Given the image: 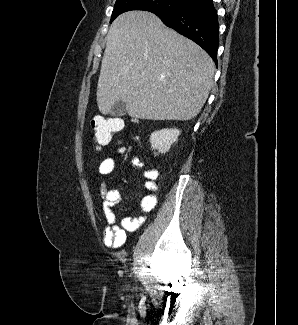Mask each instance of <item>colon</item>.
Returning a JSON list of instances; mask_svg holds the SVG:
<instances>
[{
    "label": "colon",
    "mask_w": 298,
    "mask_h": 325,
    "mask_svg": "<svg viewBox=\"0 0 298 325\" xmlns=\"http://www.w3.org/2000/svg\"><path fill=\"white\" fill-rule=\"evenodd\" d=\"M123 121L119 118L96 116L93 118L90 131L96 145V149L99 150L100 146L109 143L114 133L121 130ZM137 166H143L140 161H136Z\"/></svg>",
    "instance_id": "obj_1"
}]
</instances>
